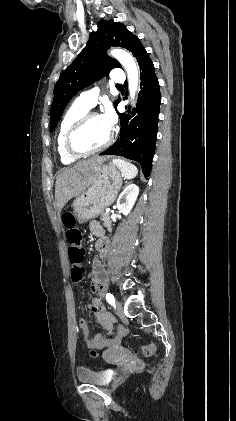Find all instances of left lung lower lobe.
<instances>
[{
	"instance_id": "obj_1",
	"label": "left lung lower lobe",
	"mask_w": 236,
	"mask_h": 421,
	"mask_svg": "<svg viewBox=\"0 0 236 421\" xmlns=\"http://www.w3.org/2000/svg\"><path fill=\"white\" fill-rule=\"evenodd\" d=\"M140 67V92L133 118L119 114L120 137L100 155H118L137 161L145 177L150 175L158 131L161 94L154 65L143 45L133 53Z\"/></svg>"
}]
</instances>
